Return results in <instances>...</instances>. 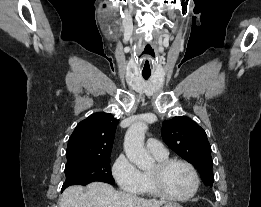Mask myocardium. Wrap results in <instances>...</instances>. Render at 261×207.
<instances>
[{
  "mask_svg": "<svg viewBox=\"0 0 261 207\" xmlns=\"http://www.w3.org/2000/svg\"><path fill=\"white\" fill-rule=\"evenodd\" d=\"M174 164L184 165L191 173L193 179V187L192 190L186 195L183 196L171 195L165 190V188L162 185V181H161L162 174L167 168H169L171 165ZM149 177L156 194L166 200L184 202L193 198L199 190L200 180H199L198 173L195 167L190 162L184 159L167 158L162 161H158L156 164V171L154 173L150 172Z\"/></svg>",
  "mask_w": 261,
  "mask_h": 207,
  "instance_id": "f54148a6",
  "label": "myocardium"
}]
</instances>
